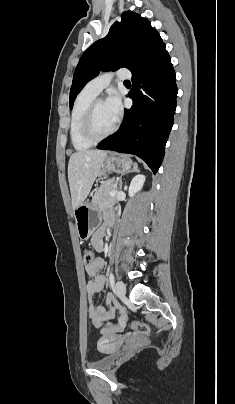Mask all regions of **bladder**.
Segmentation results:
<instances>
[{
  "label": "bladder",
  "mask_w": 235,
  "mask_h": 404,
  "mask_svg": "<svg viewBox=\"0 0 235 404\" xmlns=\"http://www.w3.org/2000/svg\"><path fill=\"white\" fill-rule=\"evenodd\" d=\"M98 348L100 352L104 353L105 355H103L96 361L89 363V366L97 370H109L114 365L119 356L118 349L107 350L102 346H99Z\"/></svg>",
  "instance_id": "obj_1"
}]
</instances>
